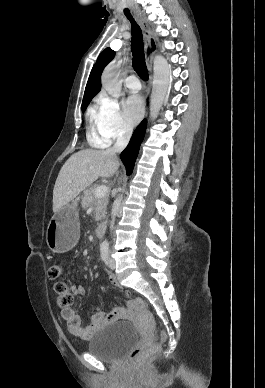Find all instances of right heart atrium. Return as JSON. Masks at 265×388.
<instances>
[{"mask_svg": "<svg viewBox=\"0 0 265 388\" xmlns=\"http://www.w3.org/2000/svg\"><path fill=\"white\" fill-rule=\"evenodd\" d=\"M92 116L99 132L107 141L126 137L131 133L132 126L125 120L119 103L107 95H100L96 99Z\"/></svg>", "mask_w": 265, "mask_h": 388, "instance_id": "obj_1", "label": "right heart atrium"}]
</instances>
